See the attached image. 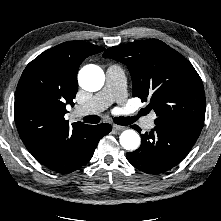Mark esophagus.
<instances>
[{
  "mask_svg": "<svg viewBox=\"0 0 221 221\" xmlns=\"http://www.w3.org/2000/svg\"><path fill=\"white\" fill-rule=\"evenodd\" d=\"M113 129L117 131H123L126 129L125 126H120V125H113Z\"/></svg>",
  "mask_w": 221,
  "mask_h": 221,
  "instance_id": "esophagus-1",
  "label": "esophagus"
}]
</instances>
